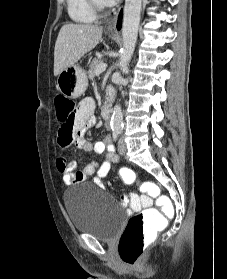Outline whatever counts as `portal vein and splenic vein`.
Returning <instances> with one entry per match:
<instances>
[{"label":"portal vein and splenic vein","instance_id":"portal-vein-and-splenic-vein-1","mask_svg":"<svg viewBox=\"0 0 227 279\" xmlns=\"http://www.w3.org/2000/svg\"><path fill=\"white\" fill-rule=\"evenodd\" d=\"M107 65L106 64H102L100 65L97 69H96V75H100L102 72H104L106 70Z\"/></svg>","mask_w":227,"mask_h":279}]
</instances>
